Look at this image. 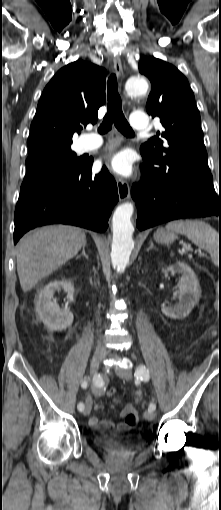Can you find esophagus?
Returning a JSON list of instances; mask_svg holds the SVG:
<instances>
[{"mask_svg": "<svg viewBox=\"0 0 221 510\" xmlns=\"http://www.w3.org/2000/svg\"><path fill=\"white\" fill-rule=\"evenodd\" d=\"M113 66L116 74L118 76L122 75V63L119 57H114ZM112 151L109 149V155H111ZM117 189L120 201H125L129 198L130 195V187L127 180L118 177L117 178Z\"/></svg>", "mask_w": 221, "mask_h": 510, "instance_id": "esophagus-1", "label": "esophagus"}]
</instances>
